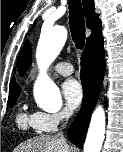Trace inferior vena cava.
<instances>
[{
	"mask_svg": "<svg viewBox=\"0 0 123 152\" xmlns=\"http://www.w3.org/2000/svg\"><path fill=\"white\" fill-rule=\"evenodd\" d=\"M69 117H70V112L69 111H63L61 113V116H60L61 120H63V119L67 120ZM57 136L60 137L61 139L65 140L62 132L58 133Z\"/></svg>",
	"mask_w": 123,
	"mask_h": 152,
	"instance_id": "obj_1",
	"label": "inferior vena cava"
}]
</instances>
